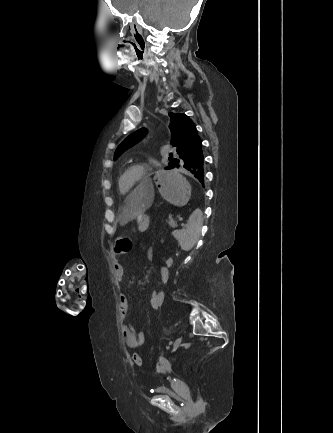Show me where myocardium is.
Wrapping results in <instances>:
<instances>
[{"label":"myocardium","mask_w":333,"mask_h":433,"mask_svg":"<svg viewBox=\"0 0 333 433\" xmlns=\"http://www.w3.org/2000/svg\"><path fill=\"white\" fill-rule=\"evenodd\" d=\"M147 171V166L145 164H134L125 169V171L120 175L118 179V184L121 181H125V178L131 173H136L137 178L130 183L127 187V193H130L137 185L141 184L145 180V174Z\"/></svg>","instance_id":"1"}]
</instances>
